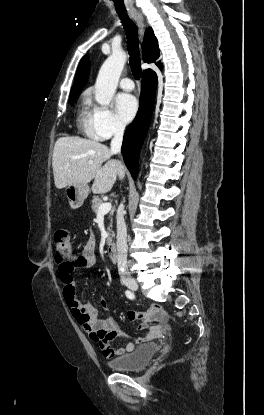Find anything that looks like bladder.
I'll list each match as a JSON object with an SVG mask.
<instances>
[{"label":"bladder","mask_w":264,"mask_h":415,"mask_svg":"<svg viewBox=\"0 0 264 415\" xmlns=\"http://www.w3.org/2000/svg\"><path fill=\"white\" fill-rule=\"evenodd\" d=\"M157 351V344L148 343L128 354L109 360L107 364L115 371L141 370L148 366Z\"/></svg>","instance_id":"obj_1"}]
</instances>
